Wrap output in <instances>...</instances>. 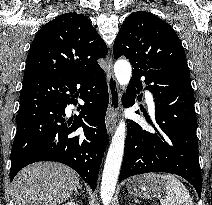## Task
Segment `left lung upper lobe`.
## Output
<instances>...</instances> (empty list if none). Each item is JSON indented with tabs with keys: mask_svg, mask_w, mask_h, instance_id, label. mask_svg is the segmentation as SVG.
Instances as JSON below:
<instances>
[{
	"mask_svg": "<svg viewBox=\"0 0 212 205\" xmlns=\"http://www.w3.org/2000/svg\"><path fill=\"white\" fill-rule=\"evenodd\" d=\"M114 57L125 56L133 72L166 69L190 77L185 52L173 28L155 15L130 14L115 39Z\"/></svg>",
	"mask_w": 212,
	"mask_h": 205,
	"instance_id": "5c2ea615",
	"label": "left lung upper lobe"
}]
</instances>
